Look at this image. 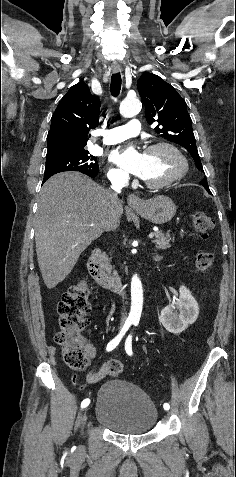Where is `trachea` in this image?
I'll return each instance as SVG.
<instances>
[{"label": "trachea", "instance_id": "3493384b", "mask_svg": "<svg viewBox=\"0 0 236 477\" xmlns=\"http://www.w3.org/2000/svg\"><path fill=\"white\" fill-rule=\"evenodd\" d=\"M111 94L114 97H117L121 89V75L120 73H115L111 77Z\"/></svg>", "mask_w": 236, "mask_h": 477}]
</instances>
